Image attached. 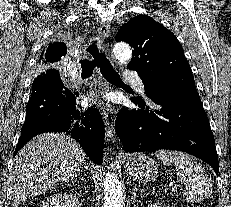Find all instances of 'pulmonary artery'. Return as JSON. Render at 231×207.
<instances>
[{"mask_svg": "<svg viewBox=\"0 0 231 207\" xmlns=\"http://www.w3.org/2000/svg\"><path fill=\"white\" fill-rule=\"evenodd\" d=\"M69 75L72 78L77 77V74L75 72H71ZM123 75H124V78L129 80L136 89L138 90L144 89L143 80L137 73L132 72V71H125Z\"/></svg>", "mask_w": 231, "mask_h": 207, "instance_id": "e3ab8cb5", "label": "pulmonary artery"}]
</instances>
